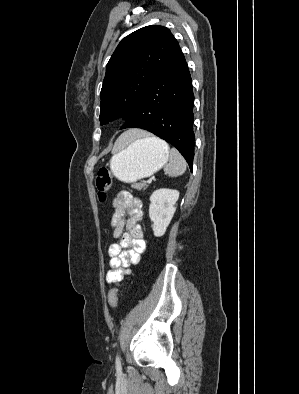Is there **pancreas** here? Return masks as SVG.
Masks as SVG:
<instances>
[{
    "label": "pancreas",
    "mask_w": 299,
    "mask_h": 394,
    "mask_svg": "<svg viewBox=\"0 0 299 394\" xmlns=\"http://www.w3.org/2000/svg\"><path fill=\"white\" fill-rule=\"evenodd\" d=\"M148 185L147 184H145V183H135V184H133V188L134 189H137V190H144V189H146V187H147Z\"/></svg>",
    "instance_id": "pancreas-1"
}]
</instances>
